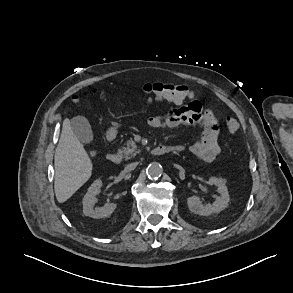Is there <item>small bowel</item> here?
<instances>
[{
  "label": "small bowel",
  "mask_w": 293,
  "mask_h": 293,
  "mask_svg": "<svg viewBox=\"0 0 293 293\" xmlns=\"http://www.w3.org/2000/svg\"><path fill=\"white\" fill-rule=\"evenodd\" d=\"M148 124L152 128H175L184 125L202 128L200 137L188 146L189 152L205 163L215 161L221 153L219 123L212 111L202 109L196 101L189 105L177 104L164 115L151 116ZM174 146L178 147L176 152L185 150L183 145Z\"/></svg>",
  "instance_id": "1"
}]
</instances>
